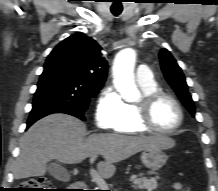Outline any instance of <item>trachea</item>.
Returning a JSON list of instances; mask_svg holds the SVG:
<instances>
[{"instance_id": "1", "label": "trachea", "mask_w": 218, "mask_h": 191, "mask_svg": "<svg viewBox=\"0 0 218 191\" xmlns=\"http://www.w3.org/2000/svg\"><path fill=\"white\" fill-rule=\"evenodd\" d=\"M111 12H112L113 15L118 16V15L121 14L122 9L121 8L120 9H118V8H111Z\"/></svg>"}]
</instances>
